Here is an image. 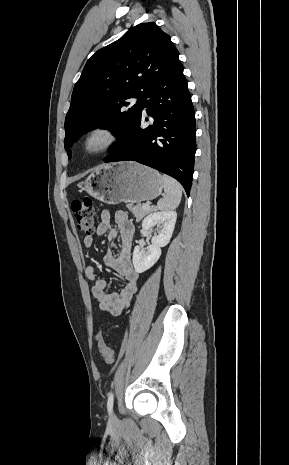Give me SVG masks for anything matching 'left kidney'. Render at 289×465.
Instances as JSON below:
<instances>
[{
  "mask_svg": "<svg viewBox=\"0 0 289 465\" xmlns=\"http://www.w3.org/2000/svg\"><path fill=\"white\" fill-rule=\"evenodd\" d=\"M177 213L174 211L154 212L142 221V232L147 233L155 227L151 245L146 249L136 246L133 251V265L137 273L150 269L161 256V247L166 246L173 234Z\"/></svg>",
  "mask_w": 289,
  "mask_h": 465,
  "instance_id": "5707ae66",
  "label": "left kidney"
}]
</instances>
